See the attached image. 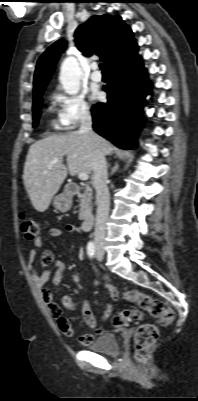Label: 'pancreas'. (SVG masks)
<instances>
[{"instance_id": "1", "label": "pancreas", "mask_w": 198, "mask_h": 401, "mask_svg": "<svg viewBox=\"0 0 198 401\" xmlns=\"http://www.w3.org/2000/svg\"><path fill=\"white\" fill-rule=\"evenodd\" d=\"M80 203L79 220H84L92 212L93 194L90 188H86L78 197Z\"/></svg>"}]
</instances>
